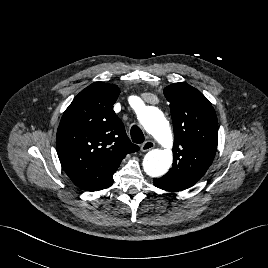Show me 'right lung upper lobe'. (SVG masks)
<instances>
[{"mask_svg": "<svg viewBox=\"0 0 268 268\" xmlns=\"http://www.w3.org/2000/svg\"><path fill=\"white\" fill-rule=\"evenodd\" d=\"M119 93L114 84L92 83L62 116L56 137L58 157L69 178L83 190L110 187L121 161L139 150L113 110Z\"/></svg>", "mask_w": 268, "mask_h": 268, "instance_id": "right-lung-upper-lobe-1", "label": "right lung upper lobe"}]
</instances>
